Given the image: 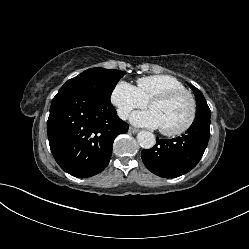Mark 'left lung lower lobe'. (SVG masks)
<instances>
[{
  "label": "left lung lower lobe",
  "instance_id": "obj_1",
  "mask_svg": "<svg viewBox=\"0 0 249 249\" xmlns=\"http://www.w3.org/2000/svg\"><path fill=\"white\" fill-rule=\"evenodd\" d=\"M209 136L210 117H197L181 137L157 138L155 146L141 152L143 163L160 177L181 176L192 170L200 161Z\"/></svg>",
  "mask_w": 249,
  "mask_h": 249
}]
</instances>
